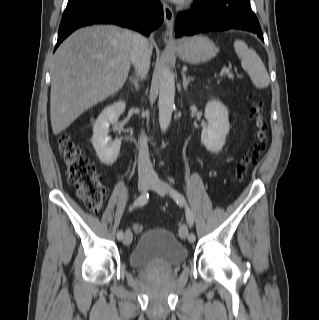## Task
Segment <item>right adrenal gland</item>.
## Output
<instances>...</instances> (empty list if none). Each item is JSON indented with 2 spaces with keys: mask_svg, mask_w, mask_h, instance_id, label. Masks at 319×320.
<instances>
[{
  "mask_svg": "<svg viewBox=\"0 0 319 320\" xmlns=\"http://www.w3.org/2000/svg\"><path fill=\"white\" fill-rule=\"evenodd\" d=\"M129 81L134 85V87H135L136 90L139 89V82H138V78H137V77L131 76V77L129 78Z\"/></svg>",
  "mask_w": 319,
  "mask_h": 320,
  "instance_id": "obj_1",
  "label": "right adrenal gland"
}]
</instances>
